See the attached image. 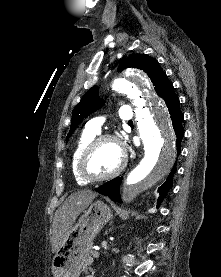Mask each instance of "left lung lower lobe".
<instances>
[{
  "label": "left lung lower lobe",
  "mask_w": 221,
  "mask_h": 277,
  "mask_svg": "<svg viewBox=\"0 0 221 277\" xmlns=\"http://www.w3.org/2000/svg\"><path fill=\"white\" fill-rule=\"evenodd\" d=\"M163 99L169 109V113L171 115V119L173 122V128L175 130V134L177 137V155L180 154L181 151V140L184 136V131L182 128V121H183V115L180 111L179 108V99L175 94L174 91V87L170 86L167 91L165 92ZM176 171V167H174L171 171V173L169 174L168 178L166 179L165 183L159 187L158 192L160 197L158 198V204L157 207H159L160 202L162 201V199L165 197V195L167 194V192L171 189L172 187V179H173V174ZM122 181V177H117L111 181H108L106 183H104L103 185H101L100 187H98L96 189L97 192H99L102 195H107L108 197H110L111 199L121 202L120 199V184Z\"/></svg>",
  "instance_id": "1"
}]
</instances>
